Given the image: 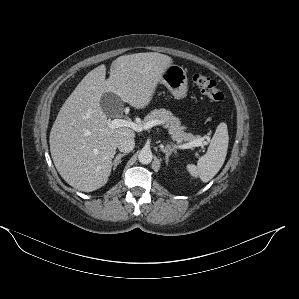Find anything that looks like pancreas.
Here are the masks:
<instances>
[{"label":"pancreas","instance_id":"1","mask_svg":"<svg viewBox=\"0 0 299 299\" xmlns=\"http://www.w3.org/2000/svg\"><path fill=\"white\" fill-rule=\"evenodd\" d=\"M152 120H161L164 122V125L169 130V134L172 139L177 143L182 142H193V141H203L202 137L197 135L194 136L191 133H185L184 130L186 127L181 126L180 119L173 116V114L166 109H154L148 114L142 121L143 125H146Z\"/></svg>","mask_w":299,"mask_h":299}]
</instances>
